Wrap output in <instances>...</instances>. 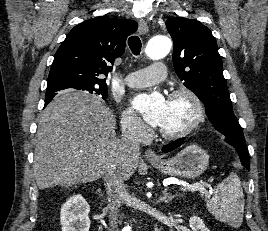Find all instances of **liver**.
<instances>
[{"mask_svg":"<svg viewBox=\"0 0 268 231\" xmlns=\"http://www.w3.org/2000/svg\"><path fill=\"white\" fill-rule=\"evenodd\" d=\"M113 112L86 92H60L41 114L33 172L39 189L96 181L107 166L121 167L128 179L137 169L116 137Z\"/></svg>","mask_w":268,"mask_h":231,"instance_id":"1","label":"liver"}]
</instances>
